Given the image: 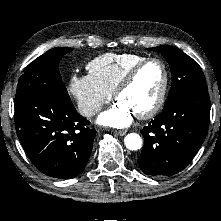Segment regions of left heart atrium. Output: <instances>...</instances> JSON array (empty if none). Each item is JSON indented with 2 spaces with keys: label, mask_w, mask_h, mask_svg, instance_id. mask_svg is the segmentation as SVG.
Instances as JSON below:
<instances>
[{
  "label": "left heart atrium",
  "mask_w": 221,
  "mask_h": 221,
  "mask_svg": "<svg viewBox=\"0 0 221 221\" xmlns=\"http://www.w3.org/2000/svg\"><path fill=\"white\" fill-rule=\"evenodd\" d=\"M135 113L124 103L117 101L98 117V123L105 126L122 128L129 126Z\"/></svg>",
  "instance_id": "1"
}]
</instances>
